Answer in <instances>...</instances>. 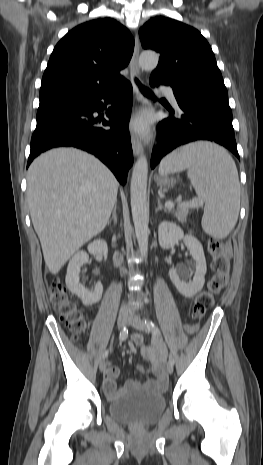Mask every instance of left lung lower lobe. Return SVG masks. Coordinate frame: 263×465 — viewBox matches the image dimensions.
I'll list each match as a JSON object with an SVG mask.
<instances>
[{
	"label": "left lung lower lobe",
	"mask_w": 263,
	"mask_h": 465,
	"mask_svg": "<svg viewBox=\"0 0 263 465\" xmlns=\"http://www.w3.org/2000/svg\"><path fill=\"white\" fill-rule=\"evenodd\" d=\"M150 84L153 87L160 84L169 85L159 77H150ZM171 87L178 103V112L173 116L175 112L170 109V117L158 125L162 145L152 152L151 168L173 149L197 140L216 142L239 158L228 99H199L186 85Z\"/></svg>",
	"instance_id": "obj_1"
}]
</instances>
